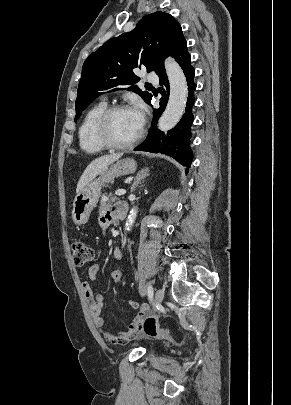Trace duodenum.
I'll list each match as a JSON object with an SVG mask.
<instances>
[{
    "instance_id": "410a0bca",
    "label": "duodenum",
    "mask_w": 291,
    "mask_h": 405,
    "mask_svg": "<svg viewBox=\"0 0 291 405\" xmlns=\"http://www.w3.org/2000/svg\"><path fill=\"white\" fill-rule=\"evenodd\" d=\"M126 216V208L124 206H120L117 210V217L119 219H124Z\"/></svg>"
}]
</instances>
